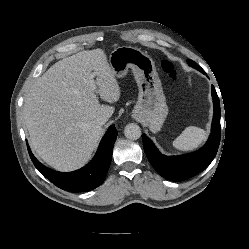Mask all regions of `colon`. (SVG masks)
<instances>
[{"label":"colon","instance_id":"colon-1","mask_svg":"<svg viewBox=\"0 0 249 249\" xmlns=\"http://www.w3.org/2000/svg\"><path fill=\"white\" fill-rule=\"evenodd\" d=\"M162 69L164 70L166 74L169 75V77L172 80L177 81L180 79L181 74L179 70L176 68V66L174 65V63H172L171 61H168V60L163 61Z\"/></svg>","mask_w":249,"mask_h":249}]
</instances>
